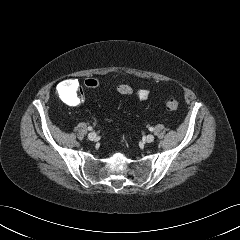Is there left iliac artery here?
<instances>
[{"label":"left iliac artery","mask_w":240,"mask_h":240,"mask_svg":"<svg viewBox=\"0 0 240 240\" xmlns=\"http://www.w3.org/2000/svg\"><path fill=\"white\" fill-rule=\"evenodd\" d=\"M149 130H150V131H154V128H153V127H150Z\"/></svg>","instance_id":"left-iliac-artery-1"}]
</instances>
